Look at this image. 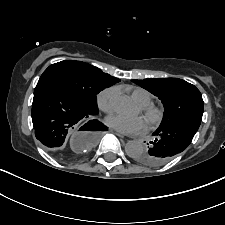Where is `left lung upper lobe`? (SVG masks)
Here are the masks:
<instances>
[{
	"instance_id": "obj_1",
	"label": "left lung upper lobe",
	"mask_w": 225,
	"mask_h": 225,
	"mask_svg": "<svg viewBox=\"0 0 225 225\" xmlns=\"http://www.w3.org/2000/svg\"><path fill=\"white\" fill-rule=\"evenodd\" d=\"M162 101L165 112L158 129H164L182 121L202 120L204 102L200 91L192 84L178 78H150L132 80ZM143 152L136 157L144 159Z\"/></svg>"
}]
</instances>
